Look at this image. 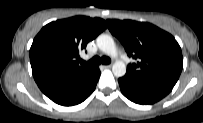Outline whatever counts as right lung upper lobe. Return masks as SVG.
I'll return each instance as SVG.
<instances>
[{"instance_id": "obj_1", "label": "right lung upper lobe", "mask_w": 203, "mask_h": 123, "mask_svg": "<svg viewBox=\"0 0 203 123\" xmlns=\"http://www.w3.org/2000/svg\"><path fill=\"white\" fill-rule=\"evenodd\" d=\"M100 18L75 16L45 25L30 48L35 81L58 74L85 73L97 66L79 64V52L106 29Z\"/></svg>"}]
</instances>
